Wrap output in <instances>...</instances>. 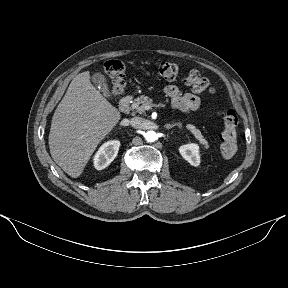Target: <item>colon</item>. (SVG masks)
I'll return each instance as SVG.
<instances>
[{
	"label": "colon",
	"instance_id": "1",
	"mask_svg": "<svg viewBox=\"0 0 288 288\" xmlns=\"http://www.w3.org/2000/svg\"><path fill=\"white\" fill-rule=\"evenodd\" d=\"M104 72L112 78V93L119 95L125 87V66L119 60H109L104 64ZM159 75L166 80H174L179 76L178 65L170 62H161L158 66ZM185 83L199 93L213 94L214 88L210 86L207 78L203 77L197 70H191L185 77ZM224 130L221 135L220 155L225 159L232 158L237 150L238 125L237 114L233 110L227 111L223 117Z\"/></svg>",
	"mask_w": 288,
	"mask_h": 288
}]
</instances>
